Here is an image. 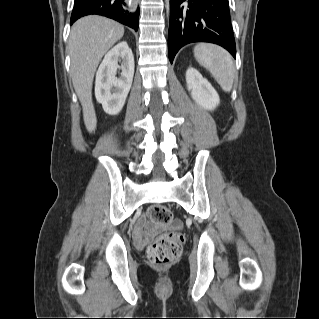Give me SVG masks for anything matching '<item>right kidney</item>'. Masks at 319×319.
I'll list each match as a JSON object with an SVG mask.
<instances>
[{
	"instance_id": "right-kidney-1",
	"label": "right kidney",
	"mask_w": 319,
	"mask_h": 319,
	"mask_svg": "<svg viewBox=\"0 0 319 319\" xmlns=\"http://www.w3.org/2000/svg\"><path fill=\"white\" fill-rule=\"evenodd\" d=\"M118 69L122 71L119 78ZM133 75L134 57L128 44L122 41L105 55L96 73L95 96L107 114L117 115L122 110Z\"/></svg>"
}]
</instances>
